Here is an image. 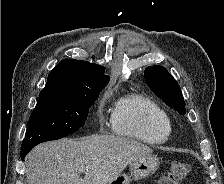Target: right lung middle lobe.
<instances>
[{
	"label": "right lung middle lobe",
	"instance_id": "right-lung-middle-lobe-1",
	"mask_svg": "<svg viewBox=\"0 0 224 184\" xmlns=\"http://www.w3.org/2000/svg\"><path fill=\"white\" fill-rule=\"evenodd\" d=\"M100 91L71 96L40 95L21 148L34 147L76 132L85 125L89 108Z\"/></svg>",
	"mask_w": 224,
	"mask_h": 184
}]
</instances>
